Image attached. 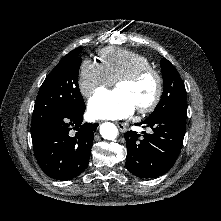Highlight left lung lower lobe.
<instances>
[{
    "instance_id": "0a47b994",
    "label": "left lung lower lobe",
    "mask_w": 221,
    "mask_h": 221,
    "mask_svg": "<svg viewBox=\"0 0 221 221\" xmlns=\"http://www.w3.org/2000/svg\"><path fill=\"white\" fill-rule=\"evenodd\" d=\"M187 109H175L162 116L147 118L138 123L151 127L153 132H126V168L140 178L163 175L174 165L181 151L185 135Z\"/></svg>"
}]
</instances>
